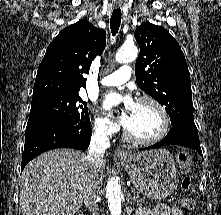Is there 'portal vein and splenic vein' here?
Segmentation results:
<instances>
[{
    "instance_id": "1",
    "label": "portal vein and splenic vein",
    "mask_w": 221,
    "mask_h": 215,
    "mask_svg": "<svg viewBox=\"0 0 221 215\" xmlns=\"http://www.w3.org/2000/svg\"><path fill=\"white\" fill-rule=\"evenodd\" d=\"M133 199L136 200V197L134 196Z\"/></svg>"
}]
</instances>
